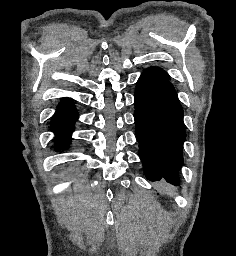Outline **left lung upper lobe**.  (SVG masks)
<instances>
[{"label":"left lung upper lobe","instance_id":"obj_1","mask_svg":"<svg viewBox=\"0 0 236 256\" xmlns=\"http://www.w3.org/2000/svg\"><path fill=\"white\" fill-rule=\"evenodd\" d=\"M152 69H154L155 71H157V72H159L160 74H162V75H164V76H166V77H168L169 78V75L165 72V71H163L162 69H160V68H152Z\"/></svg>","mask_w":236,"mask_h":256}]
</instances>
